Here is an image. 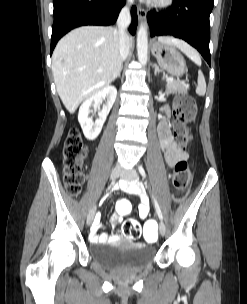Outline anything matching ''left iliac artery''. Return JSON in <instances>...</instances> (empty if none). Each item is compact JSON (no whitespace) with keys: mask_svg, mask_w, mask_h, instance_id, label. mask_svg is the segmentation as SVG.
<instances>
[{"mask_svg":"<svg viewBox=\"0 0 247 304\" xmlns=\"http://www.w3.org/2000/svg\"><path fill=\"white\" fill-rule=\"evenodd\" d=\"M138 169H139V172L142 175V177L146 178V173H145V170L143 169V167L139 166ZM152 198H153V202H154V206H155L157 215L160 220H163V215H162L161 209H160L158 202H157L156 198L154 197V195H152Z\"/></svg>","mask_w":247,"mask_h":304,"instance_id":"1","label":"left iliac artery"}]
</instances>
